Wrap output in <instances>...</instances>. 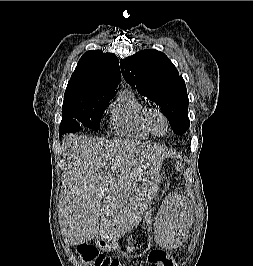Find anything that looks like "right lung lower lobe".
Returning a JSON list of instances; mask_svg holds the SVG:
<instances>
[{
	"label": "right lung lower lobe",
	"instance_id": "obj_1",
	"mask_svg": "<svg viewBox=\"0 0 253 266\" xmlns=\"http://www.w3.org/2000/svg\"><path fill=\"white\" fill-rule=\"evenodd\" d=\"M59 134H60V135H62V132H61V131H59Z\"/></svg>",
	"mask_w": 253,
	"mask_h": 266
}]
</instances>
